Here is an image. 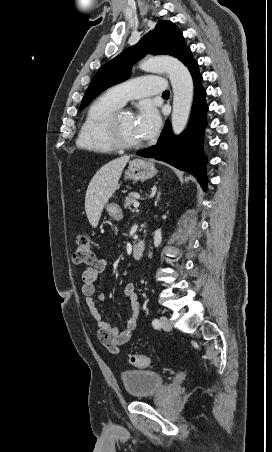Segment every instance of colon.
Listing matches in <instances>:
<instances>
[{
  "mask_svg": "<svg viewBox=\"0 0 272 452\" xmlns=\"http://www.w3.org/2000/svg\"><path fill=\"white\" fill-rule=\"evenodd\" d=\"M74 263L78 265H92L95 261L91 239L86 234H80L76 240V250L73 255ZM129 362L137 367L152 365V359L145 355H131Z\"/></svg>",
  "mask_w": 272,
  "mask_h": 452,
  "instance_id": "1",
  "label": "colon"
}]
</instances>
